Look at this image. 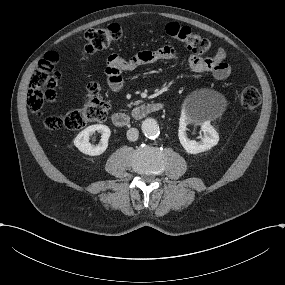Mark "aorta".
<instances>
[{"instance_id":"aorta-1","label":"aorta","mask_w":285,"mask_h":285,"mask_svg":"<svg viewBox=\"0 0 285 285\" xmlns=\"http://www.w3.org/2000/svg\"><path fill=\"white\" fill-rule=\"evenodd\" d=\"M142 132L147 138L154 139L160 134L159 125L153 118H147L142 123Z\"/></svg>"}]
</instances>
